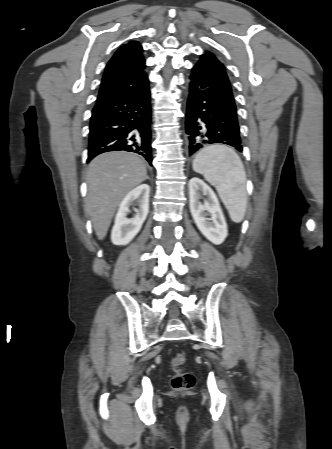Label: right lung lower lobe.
I'll use <instances>...</instances> for the list:
<instances>
[{
    "mask_svg": "<svg viewBox=\"0 0 332 449\" xmlns=\"http://www.w3.org/2000/svg\"><path fill=\"white\" fill-rule=\"evenodd\" d=\"M149 87L125 99L97 102L92 111L88 159L108 151H128L152 165Z\"/></svg>",
    "mask_w": 332,
    "mask_h": 449,
    "instance_id": "98d812e1",
    "label": "right lung lower lobe"
}]
</instances>
